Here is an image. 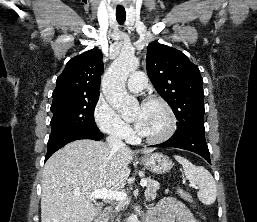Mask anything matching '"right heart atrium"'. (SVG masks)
Segmentation results:
<instances>
[{
	"label": "right heart atrium",
	"mask_w": 257,
	"mask_h": 222,
	"mask_svg": "<svg viewBox=\"0 0 257 222\" xmlns=\"http://www.w3.org/2000/svg\"><path fill=\"white\" fill-rule=\"evenodd\" d=\"M104 111L115 117L117 121L112 128L105 127L99 120L101 113ZM94 119L101 131L115 139L129 140L132 137V130L130 126L119 117L116 111L103 97H100L96 103L94 108Z\"/></svg>",
	"instance_id": "right-heart-atrium-1"
}]
</instances>
